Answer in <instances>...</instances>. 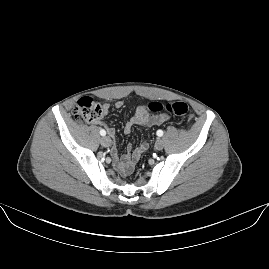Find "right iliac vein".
Segmentation results:
<instances>
[{
  "mask_svg": "<svg viewBox=\"0 0 269 269\" xmlns=\"http://www.w3.org/2000/svg\"><path fill=\"white\" fill-rule=\"evenodd\" d=\"M100 143L104 147H109L111 145V139L108 136H103L100 139Z\"/></svg>",
  "mask_w": 269,
  "mask_h": 269,
  "instance_id": "1",
  "label": "right iliac vein"
}]
</instances>
